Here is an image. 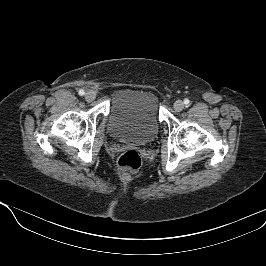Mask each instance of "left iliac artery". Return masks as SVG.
<instances>
[{"mask_svg": "<svg viewBox=\"0 0 266 266\" xmlns=\"http://www.w3.org/2000/svg\"><path fill=\"white\" fill-rule=\"evenodd\" d=\"M184 104H185V105H189V104H190L189 99H185V100H184Z\"/></svg>", "mask_w": 266, "mask_h": 266, "instance_id": "left-iliac-artery-1", "label": "left iliac artery"}]
</instances>
